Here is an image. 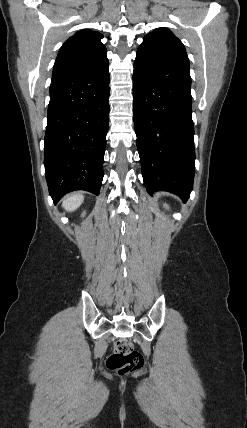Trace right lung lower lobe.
<instances>
[{
    "label": "right lung lower lobe",
    "mask_w": 247,
    "mask_h": 428,
    "mask_svg": "<svg viewBox=\"0 0 247 428\" xmlns=\"http://www.w3.org/2000/svg\"><path fill=\"white\" fill-rule=\"evenodd\" d=\"M109 62L53 76L50 85L44 165L56 204L66 193L98 195L109 121Z\"/></svg>",
    "instance_id": "98d812e1"
}]
</instances>
